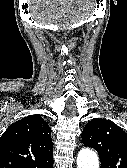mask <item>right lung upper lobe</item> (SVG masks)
Instances as JSON below:
<instances>
[{
    "mask_svg": "<svg viewBox=\"0 0 127 168\" xmlns=\"http://www.w3.org/2000/svg\"><path fill=\"white\" fill-rule=\"evenodd\" d=\"M48 123L30 115L12 123L0 137V168H49L53 145Z\"/></svg>",
    "mask_w": 127,
    "mask_h": 168,
    "instance_id": "1",
    "label": "right lung upper lobe"
}]
</instances>
